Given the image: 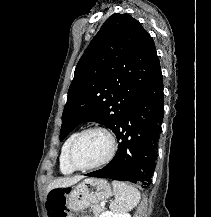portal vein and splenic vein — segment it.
Listing matches in <instances>:
<instances>
[{
	"label": "portal vein and splenic vein",
	"instance_id": "portal-vein-and-splenic-vein-1",
	"mask_svg": "<svg viewBox=\"0 0 211 217\" xmlns=\"http://www.w3.org/2000/svg\"><path fill=\"white\" fill-rule=\"evenodd\" d=\"M101 206L104 207V206H105V203H101Z\"/></svg>",
	"mask_w": 211,
	"mask_h": 217
}]
</instances>
